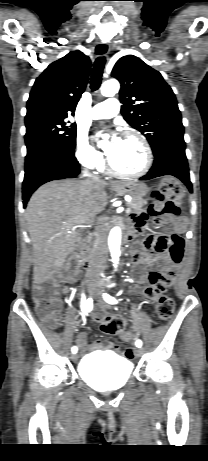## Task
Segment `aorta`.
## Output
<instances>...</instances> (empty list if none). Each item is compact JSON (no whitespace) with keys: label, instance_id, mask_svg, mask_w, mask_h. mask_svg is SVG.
<instances>
[{"label":"aorta","instance_id":"obj_1","mask_svg":"<svg viewBox=\"0 0 208 461\" xmlns=\"http://www.w3.org/2000/svg\"><path fill=\"white\" fill-rule=\"evenodd\" d=\"M120 89V84L117 80L111 79L104 82L101 86V94L105 97H112L118 93ZM106 138L105 136L103 137ZM104 141L98 142V146H102ZM120 245H121V229L120 227L116 226L111 229L109 237H108V246L113 262L114 268H117L119 264V258L121 255L120 252Z\"/></svg>","mask_w":208,"mask_h":461}]
</instances>
